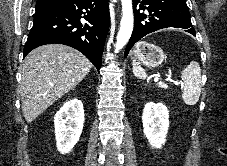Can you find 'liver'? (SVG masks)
<instances>
[{
    "instance_id": "liver-1",
    "label": "liver",
    "mask_w": 227,
    "mask_h": 166,
    "mask_svg": "<svg viewBox=\"0 0 227 166\" xmlns=\"http://www.w3.org/2000/svg\"><path fill=\"white\" fill-rule=\"evenodd\" d=\"M92 63L76 49L48 44L31 51L25 59L20 95L27 123L34 121L55 101L76 87Z\"/></svg>"
}]
</instances>
